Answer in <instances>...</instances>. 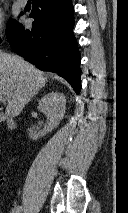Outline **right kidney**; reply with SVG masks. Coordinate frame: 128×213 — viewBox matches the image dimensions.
Wrapping results in <instances>:
<instances>
[{
  "instance_id": "ca27d5eb",
  "label": "right kidney",
  "mask_w": 128,
  "mask_h": 213,
  "mask_svg": "<svg viewBox=\"0 0 128 213\" xmlns=\"http://www.w3.org/2000/svg\"><path fill=\"white\" fill-rule=\"evenodd\" d=\"M65 109L66 98L63 93L52 91L44 95L39 100L38 110L47 115V122L44 128L38 132L29 128V138L37 140L56 128L64 117Z\"/></svg>"
}]
</instances>
